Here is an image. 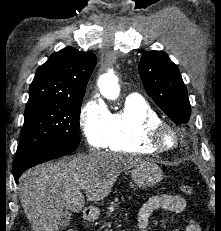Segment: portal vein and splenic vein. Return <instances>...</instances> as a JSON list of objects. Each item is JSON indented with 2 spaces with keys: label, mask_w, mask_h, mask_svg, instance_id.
I'll return each mask as SVG.
<instances>
[{
  "label": "portal vein and splenic vein",
  "mask_w": 221,
  "mask_h": 231,
  "mask_svg": "<svg viewBox=\"0 0 221 231\" xmlns=\"http://www.w3.org/2000/svg\"><path fill=\"white\" fill-rule=\"evenodd\" d=\"M82 189L85 190V189H86V186H82Z\"/></svg>",
  "instance_id": "portal-vein-and-splenic-vein-1"
}]
</instances>
